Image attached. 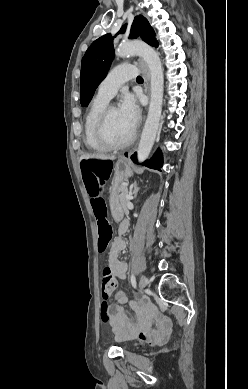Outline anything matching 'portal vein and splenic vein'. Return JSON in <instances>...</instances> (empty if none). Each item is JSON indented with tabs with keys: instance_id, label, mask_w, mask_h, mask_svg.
Wrapping results in <instances>:
<instances>
[{
	"instance_id": "portal-vein-and-splenic-vein-1",
	"label": "portal vein and splenic vein",
	"mask_w": 248,
	"mask_h": 389,
	"mask_svg": "<svg viewBox=\"0 0 248 389\" xmlns=\"http://www.w3.org/2000/svg\"><path fill=\"white\" fill-rule=\"evenodd\" d=\"M126 197H127V199H129V200H131V199L133 198L131 194H129V195L127 194Z\"/></svg>"
}]
</instances>
